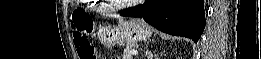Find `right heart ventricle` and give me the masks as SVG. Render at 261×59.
<instances>
[{
	"instance_id": "e07e8e85",
	"label": "right heart ventricle",
	"mask_w": 261,
	"mask_h": 59,
	"mask_svg": "<svg viewBox=\"0 0 261 59\" xmlns=\"http://www.w3.org/2000/svg\"><path fill=\"white\" fill-rule=\"evenodd\" d=\"M95 2H96V1H95ZM94 8H95V9H98V10H101V11L106 10L105 8H101V7H95V6H94Z\"/></svg>"
}]
</instances>
